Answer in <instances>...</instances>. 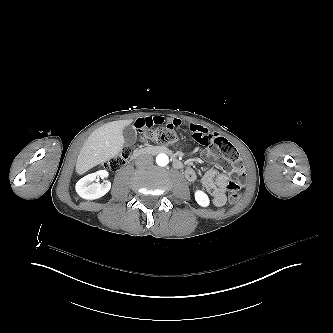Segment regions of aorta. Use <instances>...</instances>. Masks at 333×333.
<instances>
[{
  "label": "aorta",
  "instance_id": "obj_1",
  "mask_svg": "<svg viewBox=\"0 0 333 333\" xmlns=\"http://www.w3.org/2000/svg\"><path fill=\"white\" fill-rule=\"evenodd\" d=\"M156 162L159 166H166L168 163H169V158L166 154H159L157 157H156Z\"/></svg>",
  "mask_w": 333,
  "mask_h": 333
}]
</instances>
